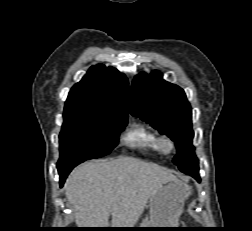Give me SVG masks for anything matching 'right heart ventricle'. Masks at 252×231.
<instances>
[{"instance_id": "1", "label": "right heart ventricle", "mask_w": 252, "mask_h": 231, "mask_svg": "<svg viewBox=\"0 0 252 231\" xmlns=\"http://www.w3.org/2000/svg\"><path fill=\"white\" fill-rule=\"evenodd\" d=\"M159 135L144 124H137L127 130L121 140L128 148L135 149L146 155H155L161 152Z\"/></svg>"}]
</instances>
